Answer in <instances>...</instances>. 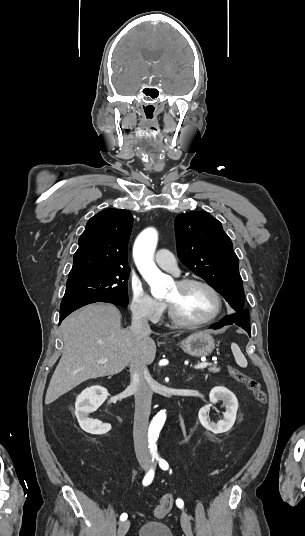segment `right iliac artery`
I'll list each match as a JSON object with an SVG mask.
<instances>
[{
  "label": "right iliac artery",
  "mask_w": 305,
  "mask_h": 536,
  "mask_svg": "<svg viewBox=\"0 0 305 536\" xmlns=\"http://www.w3.org/2000/svg\"><path fill=\"white\" fill-rule=\"evenodd\" d=\"M153 478H154V470H153V469H150V470L148 471V473L145 475L144 479H143V482H142L143 485H144V486H148V485L152 482ZM127 517H128V515H127L126 513H123V514L120 516V520H121V521H124V520L127 519Z\"/></svg>",
  "instance_id": "right-iliac-artery-1"
}]
</instances>
